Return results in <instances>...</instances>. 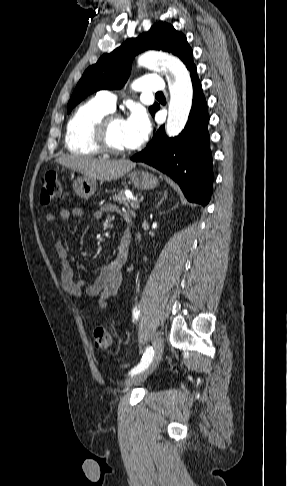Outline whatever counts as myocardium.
<instances>
[{
    "mask_svg": "<svg viewBox=\"0 0 287 486\" xmlns=\"http://www.w3.org/2000/svg\"><path fill=\"white\" fill-rule=\"evenodd\" d=\"M122 119L121 115L116 112H109L104 115L94 126L93 128V142L97 149L101 153H106L110 155H123L130 150L127 149H119L113 147L108 140V131L111 123L115 120Z\"/></svg>",
    "mask_w": 287,
    "mask_h": 486,
    "instance_id": "obj_1",
    "label": "myocardium"
}]
</instances>
